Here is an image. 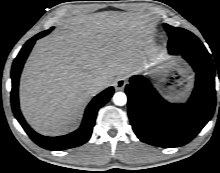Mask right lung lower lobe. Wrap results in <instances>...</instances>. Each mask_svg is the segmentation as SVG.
Masks as SVG:
<instances>
[{"label": "right lung lower lobe", "instance_id": "right-lung-lower-lobe-1", "mask_svg": "<svg viewBox=\"0 0 220 173\" xmlns=\"http://www.w3.org/2000/svg\"><path fill=\"white\" fill-rule=\"evenodd\" d=\"M47 31L41 32L38 35L31 38L21 49L18 56L15 58L11 70V78H12V90H11V103L13 113L16 119L19 121L21 126L24 128L26 133L30 136V138L41 147L48 149V150H62L68 149L72 147H77L85 142L91 136L92 129L95 123L96 114L98 110L106 104L111 96L113 95V87H110L104 90L102 93L97 95L91 103L88 105L84 119L82 122L81 127L76 130L75 132L68 134L66 136L60 137H45L36 132H34L25 122L20 110H19V102H18V82L19 76L23 67V64L35 43V40L45 36Z\"/></svg>", "mask_w": 220, "mask_h": 173}]
</instances>
